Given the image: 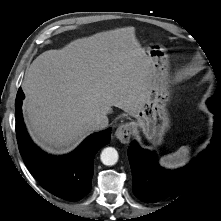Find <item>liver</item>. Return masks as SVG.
I'll return each mask as SVG.
<instances>
[{
  "label": "liver",
  "mask_w": 221,
  "mask_h": 221,
  "mask_svg": "<svg viewBox=\"0 0 221 221\" xmlns=\"http://www.w3.org/2000/svg\"><path fill=\"white\" fill-rule=\"evenodd\" d=\"M152 60L134 27L100 32L40 54L28 68L22 110L28 131L44 150L64 154L90 133L91 119L118 107L141 108L152 85Z\"/></svg>",
  "instance_id": "liver-1"
}]
</instances>
